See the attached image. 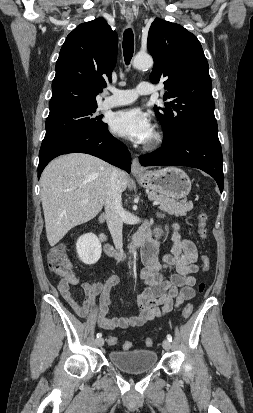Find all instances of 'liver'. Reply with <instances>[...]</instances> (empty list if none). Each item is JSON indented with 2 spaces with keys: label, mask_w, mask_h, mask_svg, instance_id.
Segmentation results:
<instances>
[{
  "label": "liver",
  "mask_w": 253,
  "mask_h": 413,
  "mask_svg": "<svg viewBox=\"0 0 253 413\" xmlns=\"http://www.w3.org/2000/svg\"><path fill=\"white\" fill-rule=\"evenodd\" d=\"M112 166L84 153H71L51 161L40 178L41 201L47 240L56 245L66 233L95 218L107 196ZM121 191L128 184L126 172L119 170ZM87 200V203H83Z\"/></svg>",
  "instance_id": "liver-1"
}]
</instances>
